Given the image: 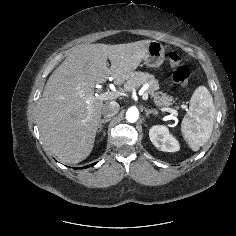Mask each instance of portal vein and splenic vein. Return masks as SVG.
Here are the masks:
<instances>
[{"mask_svg": "<svg viewBox=\"0 0 236 236\" xmlns=\"http://www.w3.org/2000/svg\"><path fill=\"white\" fill-rule=\"evenodd\" d=\"M141 95L144 101L148 100V94L145 92L144 93V89L141 90ZM119 92L112 90V91H106L100 95H96V99L100 100V101H106V100H110V99H115L117 97H119ZM162 112H169L172 115H177V111L172 109V108H168V107H163L160 109Z\"/></svg>", "mask_w": 236, "mask_h": 236, "instance_id": "portal-vein-and-splenic-vein-1", "label": "portal vein and splenic vein"}]
</instances>
